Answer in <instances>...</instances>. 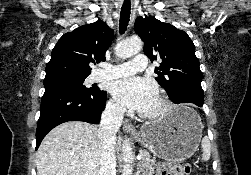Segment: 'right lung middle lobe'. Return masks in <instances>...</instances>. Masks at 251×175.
I'll return each instance as SVG.
<instances>
[{
  "instance_id": "obj_1",
  "label": "right lung middle lobe",
  "mask_w": 251,
  "mask_h": 175,
  "mask_svg": "<svg viewBox=\"0 0 251 175\" xmlns=\"http://www.w3.org/2000/svg\"><path fill=\"white\" fill-rule=\"evenodd\" d=\"M86 77H57V78H48L44 79V86L54 84V83H61V84H68L72 86L79 87L85 91H90L93 88H86L83 85V82Z\"/></svg>"
}]
</instances>
